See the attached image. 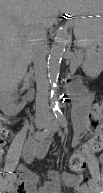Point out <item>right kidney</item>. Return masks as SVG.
I'll use <instances>...</instances> for the list:
<instances>
[{
  "instance_id": "ca27d5eb",
  "label": "right kidney",
  "mask_w": 103,
  "mask_h": 193,
  "mask_svg": "<svg viewBox=\"0 0 103 193\" xmlns=\"http://www.w3.org/2000/svg\"><path fill=\"white\" fill-rule=\"evenodd\" d=\"M17 83L8 81L1 82L0 89V109L7 116H15L24 107V104L14 103V94L17 92Z\"/></svg>"
}]
</instances>
